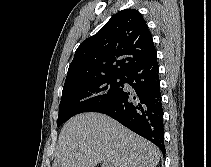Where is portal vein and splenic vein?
Instances as JSON below:
<instances>
[{
    "label": "portal vein and splenic vein",
    "mask_w": 211,
    "mask_h": 167,
    "mask_svg": "<svg viewBox=\"0 0 211 167\" xmlns=\"http://www.w3.org/2000/svg\"><path fill=\"white\" fill-rule=\"evenodd\" d=\"M102 167H108V162L107 161H103L102 162Z\"/></svg>",
    "instance_id": "1"
}]
</instances>
